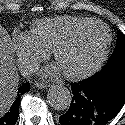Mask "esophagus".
I'll return each mask as SVG.
<instances>
[{"label":"esophagus","instance_id":"esophagus-1","mask_svg":"<svg viewBox=\"0 0 125 125\" xmlns=\"http://www.w3.org/2000/svg\"><path fill=\"white\" fill-rule=\"evenodd\" d=\"M36 87H38L39 89H45L47 87H49V85L45 84V83H40V82H36Z\"/></svg>","mask_w":125,"mask_h":125}]
</instances>
